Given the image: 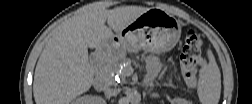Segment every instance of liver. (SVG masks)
Returning <instances> with one entry per match:
<instances>
[{
    "label": "liver",
    "mask_w": 252,
    "mask_h": 104,
    "mask_svg": "<svg viewBox=\"0 0 252 104\" xmlns=\"http://www.w3.org/2000/svg\"><path fill=\"white\" fill-rule=\"evenodd\" d=\"M149 8L111 10L100 3L85 7L63 22L49 38L37 62L33 94L37 104H68L94 82L88 48H100ZM107 22L108 26L105 25Z\"/></svg>",
    "instance_id": "6515ba94"
}]
</instances>
